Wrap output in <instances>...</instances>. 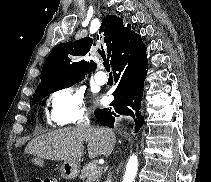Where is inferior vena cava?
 <instances>
[{
    "instance_id": "602c4592",
    "label": "inferior vena cava",
    "mask_w": 211,
    "mask_h": 182,
    "mask_svg": "<svg viewBox=\"0 0 211 182\" xmlns=\"http://www.w3.org/2000/svg\"><path fill=\"white\" fill-rule=\"evenodd\" d=\"M81 126L85 127V130H90L91 134H100L101 133V130L97 129L96 126L88 127L89 126V119H88V117L84 118L83 123L81 124ZM107 155H109V154H107ZM109 179H110V175H109ZM107 182H109V181H107Z\"/></svg>"
}]
</instances>
